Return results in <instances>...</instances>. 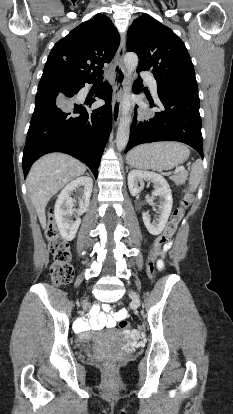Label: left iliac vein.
Segmentation results:
<instances>
[{"label": "left iliac vein", "instance_id": "obj_1", "mask_svg": "<svg viewBox=\"0 0 233 414\" xmlns=\"http://www.w3.org/2000/svg\"><path fill=\"white\" fill-rule=\"evenodd\" d=\"M130 297H131V299L137 304V305H139L140 304V301H139V297H138V295L134 292V291H131L130 292Z\"/></svg>", "mask_w": 233, "mask_h": 414}]
</instances>
